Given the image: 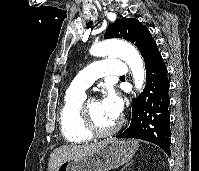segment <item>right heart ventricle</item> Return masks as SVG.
Returning <instances> with one entry per match:
<instances>
[{
	"label": "right heart ventricle",
	"instance_id": "right-heart-ventricle-1",
	"mask_svg": "<svg viewBox=\"0 0 199 171\" xmlns=\"http://www.w3.org/2000/svg\"><path fill=\"white\" fill-rule=\"evenodd\" d=\"M85 91L68 88L59 110V123L63 137L71 143H83L92 138L85 125L82 111Z\"/></svg>",
	"mask_w": 199,
	"mask_h": 171
}]
</instances>
